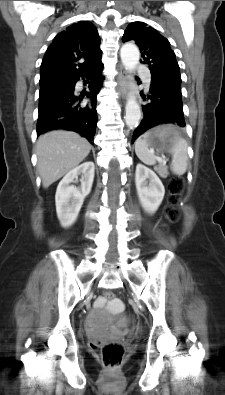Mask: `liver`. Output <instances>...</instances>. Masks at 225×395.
<instances>
[{"instance_id":"1","label":"liver","mask_w":225,"mask_h":395,"mask_svg":"<svg viewBox=\"0 0 225 395\" xmlns=\"http://www.w3.org/2000/svg\"><path fill=\"white\" fill-rule=\"evenodd\" d=\"M90 143L72 131L55 130L39 137L37 169L44 188L77 167L89 154Z\"/></svg>"}]
</instances>
